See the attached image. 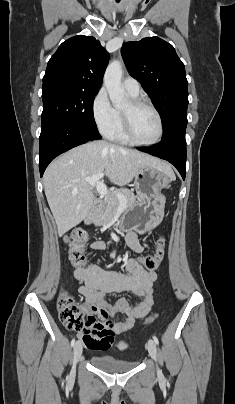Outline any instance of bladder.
Returning a JSON list of instances; mask_svg holds the SVG:
<instances>
[{"label": "bladder", "instance_id": "obj_1", "mask_svg": "<svg viewBox=\"0 0 235 404\" xmlns=\"http://www.w3.org/2000/svg\"><path fill=\"white\" fill-rule=\"evenodd\" d=\"M92 365L106 372H127L132 370L137 362L124 360L111 354H96L90 357Z\"/></svg>", "mask_w": 235, "mask_h": 404}]
</instances>
